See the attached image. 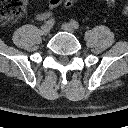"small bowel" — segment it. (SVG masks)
Here are the masks:
<instances>
[{
	"label": "small bowel",
	"instance_id": "1",
	"mask_svg": "<svg viewBox=\"0 0 128 128\" xmlns=\"http://www.w3.org/2000/svg\"><path fill=\"white\" fill-rule=\"evenodd\" d=\"M62 1L63 0H49L48 1L49 10H44V11L37 13L36 19L39 21H44V20L48 19L51 16L50 10H53L56 7H58L62 3Z\"/></svg>",
	"mask_w": 128,
	"mask_h": 128
}]
</instances>
